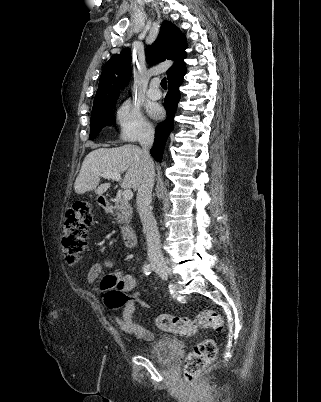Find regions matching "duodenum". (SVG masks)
I'll return each mask as SVG.
<instances>
[{"label":"duodenum","mask_w":321,"mask_h":402,"mask_svg":"<svg viewBox=\"0 0 321 402\" xmlns=\"http://www.w3.org/2000/svg\"><path fill=\"white\" fill-rule=\"evenodd\" d=\"M99 204L105 208L110 209V201L105 197H99ZM121 238L125 246L135 247L137 244V234L135 230L129 226H123L121 228Z\"/></svg>","instance_id":"1"}]
</instances>
